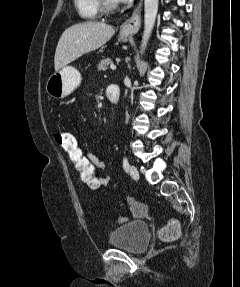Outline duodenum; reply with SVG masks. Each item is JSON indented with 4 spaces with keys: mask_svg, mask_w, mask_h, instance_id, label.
<instances>
[{
    "mask_svg": "<svg viewBox=\"0 0 240 287\" xmlns=\"http://www.w3.org/2000/svg\"><path fill=\"white\" fill-rule=\"evenodd\" d=\"M107 98L112 103H117L120 99V88L116 84H111L107 89Z\"/></svg>",
    "mask_w": 240,
    "mask_h": 287,
    "instance_id": "410a0bca",
    "label": "duodenum"
}]
</instances>
